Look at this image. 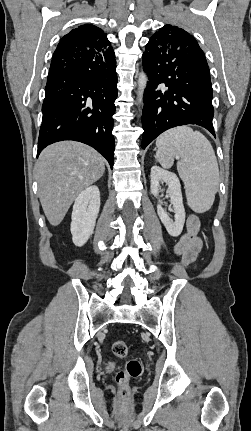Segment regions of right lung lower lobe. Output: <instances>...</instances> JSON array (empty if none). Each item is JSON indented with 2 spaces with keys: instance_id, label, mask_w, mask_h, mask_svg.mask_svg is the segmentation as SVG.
<instances>
[{
  "instance_id": "right-lung-lower-lobe-1",
  "label": "right lung lower lobe",
  "mask_w": 251,
  "mask_h": 431,
  "mask_svg": "<svg viewBox=\"0 0 251 431\" xmlns=\"http://www.w3.org/2000/svg\"><path fill=\"white\" fill-rule=\"evenodd\" d=\"M116 60L95 50H55L47 77L38 152L49 144L75 140L90 145L113 168Z\"/></svg>"
}]
</instances>
